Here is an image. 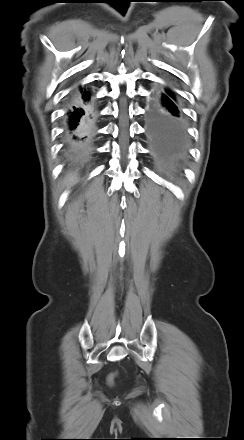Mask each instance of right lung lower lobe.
Instances as JSON below:
<instances>
[{"mask_svg":"<svg viewBox=\"0 0 244 440\" xmlns=\"http://www.w3.org/2000/svg\"><path fill=\"white\" fill-rule=\"evenodd\" d=\"M96 115L90 105V96L74 95L68 105L64 124V142L76 150L89 143L95 133Z\"/></svg>","mask_w":244,"mask_h":440,"instance_id":"right-lung-lower-lobe-1","label":"right lung lower lobe"}]
</instances>
